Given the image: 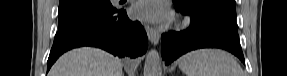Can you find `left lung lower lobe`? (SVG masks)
<instances>
[{
	"mask_svg": "<svg viewBox=\"0 0 287 76\" xmlns=\"http://www.w3.org/2000/svg\"><path fill=\"white\" fill-rule=\"evenodd\" d=\"M190 16L191 25L188 29L161 36V55L166 65L186 52L200 48H221L245 63L238 33L228 32L204 18Z\"/></svg>",
	"mask_w": 287,
	"mask_h": 76,
	"instance_id": "left-lung-lower-lobe-1",
	"label": "left lung lower lobe"
}]
</instances>
